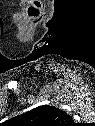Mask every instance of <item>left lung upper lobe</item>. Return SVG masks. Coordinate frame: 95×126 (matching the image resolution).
Instances as JSON below:
<instances>
[{"label":"left lung upper lobe","mask_w":95,"mask_h":126,"mask_svg":"<svg viewBox=\"0 0 95 126\" xmlns=\"http://www.w3.org/2000/svg\"><path fill=\"white\" fill-rule=\"evenodd\" d=\"M15 120L19 126H69L71 117L55 106L43 105L17 116Z\"/></svg>","instance_id":"obj_1"}]
</instances>
